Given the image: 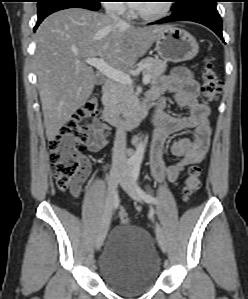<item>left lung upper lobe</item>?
Listing matches in <instances>:
<instances>
[{
  "label": "left lung upper lobe",
  "instance_id": "1",
  "mask_svg": "<svg viewBox=\"0 0 248 299\" xmlns=\"http://www.w3.org/2000/svg\"><path fill=\"white\" fill-rule=\"evenodd\" d=\"M177 1V0H176ZM190 1H193V0H180V6L181 7H184L186 6Z\"/></svg>",
  "mask_w": 248,
  "mask_h": 299
}]
</instances>
